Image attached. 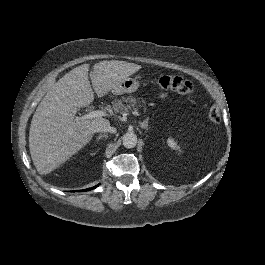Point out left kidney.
<instances>
[{"label": "left kidney", "mask_w": 265, "mask_h": 265, "mask_svg": "<svg viewBox=\"0 0 265 265\" xmlns=\"http://www.w3.org/2000/svg\"><path fill=\"white\" fill-rule=\"evenodd\" d=\"M166 143L168 147H170L172 150L176 152H184L185 147L183 146L182 143H180L178 140L173 135H169L168 138L166 139Z\"/></svg>", "instance_id": "left-kidney-1"}]
</instances>
